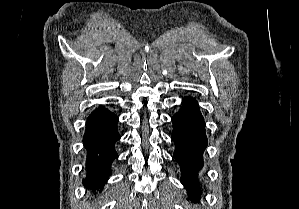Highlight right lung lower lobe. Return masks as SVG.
<instances>
[{
    "label": "right lung lower lobe",
    "instance_id": "right-lung-lower-lobe-1",
    "mask_svg": "<svg viewBox=\"0 0 299 209\" xmlns=\"http://www.w3.org/2000/svg\"><path fill=\"white\" fill-rule=\"evenodd\" d=\"M118 117L99 106L87 119L83 143L86 149V178L83 184L99 189L111 174V165L118 157L115 143L120 139Z\"/></svg>",
    "mask_w": 299,
    "mask_h": 209
}]
</instances>
